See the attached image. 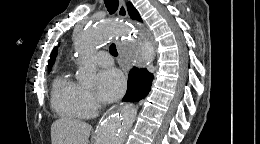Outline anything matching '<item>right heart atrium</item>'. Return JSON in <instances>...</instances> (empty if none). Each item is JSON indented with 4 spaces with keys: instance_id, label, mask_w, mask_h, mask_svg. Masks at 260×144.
<instances>
[{
    "instance_id": "right-heart-atrium-1",
    "label": "right heart atrium",
    "mask_w": 260,
    "mask_h": 144,
    "mask_svg": "<svg viewBox=\"0 0 260 144\" xmlns=\"http://www.w3.org/2000/svg\"><path fill=\"white\" fill-rule=\"evenodd\" d=\"M79 100L85 116L91 115L96 110L97 100L90 90L82 87Z\"/></svg>"
}]
</instances>
